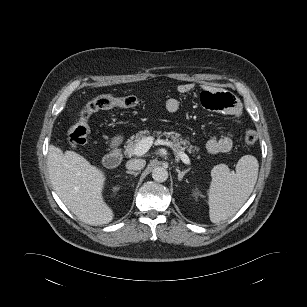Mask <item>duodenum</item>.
I'll use <instances>...</instances> for the list:
<instances>
[{
    "label": "duodenum",
    "mask_w": 307,
    "mask_h": 307,
    "mask_svg": "<svg viewBox=\"0 0 307 307\" xmlns=\"http://www.w3.org/2000/svg\"><path fill=\"white\" fill-rule=\"evenodd\" d=\"M120 138H114L110 151L104 156L103 164L107 168L117 167L122 161V151L120 149Z\"/></svg>",
    "instance_id": "1"
}]
</instances>
